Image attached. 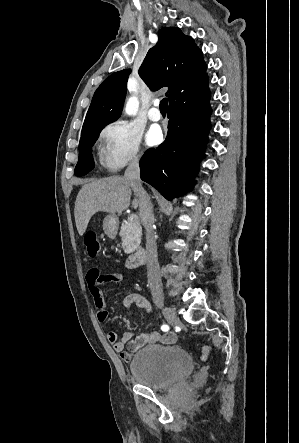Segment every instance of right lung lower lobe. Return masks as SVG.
<instances>
[{"label": "right lung lower lobe", "instance_id": "right-lung-lower-lobe-1", "mask_svg": "<svg viewBox=\"0 0 299 443\" xmlns=\"http://www.w3.org/2000/svg\"><path fill=\"white\" fill-rule=\"evenodd\" d=\"M208 77L176 95L168 108V133L156 149L140 160V177L168 200L180 196L194 184L190 176L197 170L210 128Z\"/></svg>", "mask_w": 299, "mask_h": 443}]
</instances>
